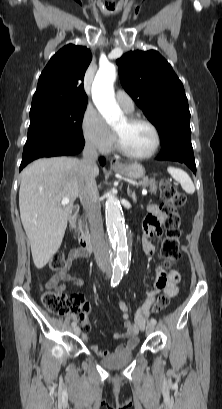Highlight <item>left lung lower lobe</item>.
Returning <instances> with one entry per match:
<instances>
[{
    "instance_id": "left-lung-lower-lobe-1",
    "label": "left lung lower lobe",
    "mask_w": 222,
    "mask_h": 409,
    "mask_svg": "<svg viewBox=\"0 0 222 409\" xmlns=\"http://www.w3.org/2000/svg\"><path fill=\"white\" fill-rule=\"evenodd\" d=\"M158 160L178 161L186 164L194 174H196V165L193 155L192 144H173L162 148Z\"/></svg>"
}]
</instances>
